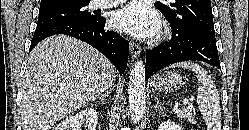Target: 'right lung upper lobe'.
Wrapping results in <instances>:
<instances>
[{
    "label": "right lung upper lobe",
    "instance_id": "obj_1",
    "mask_svg": "<svg viewBox=\"0 0 249 130\" xmlns=\"http://www.w3.org/2000/svg\"><path fill=\"white\" fill-rule=\"evenodd\" d=\"M90 0H41L40 8H57L73 6L77 3Z\"/></svg>",
    "mask_w": 249,
    "mask_h": 130
}]
</instances>
